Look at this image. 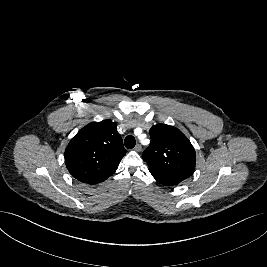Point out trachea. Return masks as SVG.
<instances>
[{
  "label": "trachea",
  "mask_w": 267,
  "mask_h": 267,
  "mask_svg": "<svg viewBox=\"0 0 267 267\" xmlns=\"http://www.w3.org/2000/svg\"><path fill=\"white\" fill-rule=\"evenodd\" d=\"M124 144L127 149H132L136 144V140L132 135H128L124 140Z\"/></svg>",
  "instance_id": "1"
}]
</instances>
